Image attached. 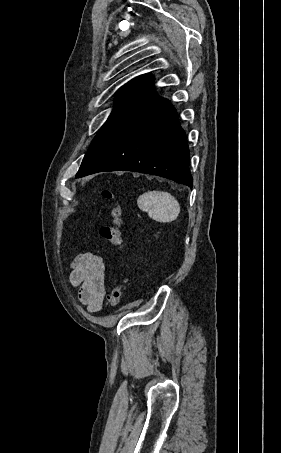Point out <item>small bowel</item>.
<instances>
[{
  "label": "small bowel",
  "instance_id": "1",
  "mask_svg": "<svg viewBox=\"0 0 281 453\" xmlns=\"http://www.w3.org/2000/svg\"><path fill=\"white\" fill-rule=\"evenodd\" d=\"M106 265L101 256L81 253L72 262L69 280L78 288L80 303L90 313H98L106 296Z\"/></svg>",
  "mask_w": 281,
  "mask_h": 453
}]
</instances>
